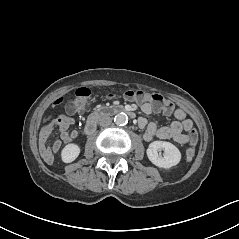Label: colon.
<instances>
[{"instance_id":"obj_1","label":"colon","mask_w":239,"mask_h":239,"mask_svg":"<svg viewBox=\"0 0 239 239\" xmlns=\"http://www.w3.org/2000/svg\"><path fill=\"white\" fill-rule=\"evenodd\" d=\"M125 96L136 102H150L154 108L163 112H172L174 105L163 96L156 93H146L143 91H127ZM91 98V90L87 87L78 88L73 100L68 104L67 111L76 114L87 108ZM61 100H58V104ZM197 143V133L192 130L189 136V148L186 151V160L191 161L195 155V145Z\"/></svg>"}]
</instances>
